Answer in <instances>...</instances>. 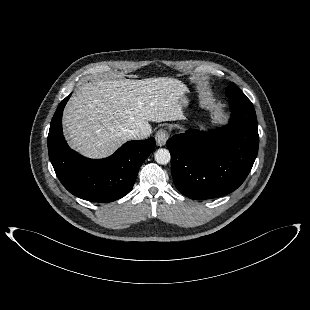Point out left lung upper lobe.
Listing matches in <instances>:
<instances>
[{
	"label": "left lung upper lobe",
	"instance_id": "1",
	"mask_svg": "<svg viewBox=\"0 0 310 310\" xmlns=\"http://www.w3.org/2000/svg\"><path fill=\"white\" fill-rule=\"evenodd\" d=\"M226 96L229 98H238L244 96V93L235 83H231L226 89Z\"/></svg>",
	"mask_w": 310,
	"mask_h": 310
}]
</instances>
